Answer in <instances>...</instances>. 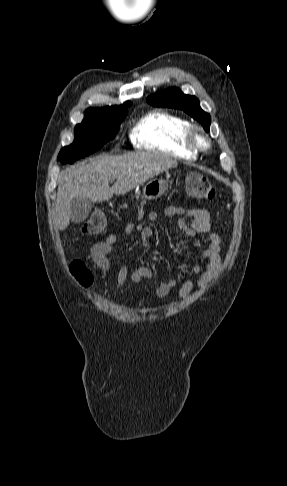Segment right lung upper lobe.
<instances>
[{
    "mask_svg": "<svg viewBox=\"0 0 287 486\" xmlns=\"http://www.w3.org/2000/svg\"><path fill=\"white\" fill-rule=\"evenodd\" d=\"M130 105L131 102L127 101L120 106H111V107H104V108H88L86 111H102L110 114H123V113H127L126 107Z\"/></svg>",
    "mask_w": 287,
    "mask_h": 486,
    "instance_id": "obj_1",
    "label": "right lung upper lobe"
}]
</instances>
